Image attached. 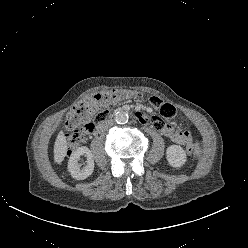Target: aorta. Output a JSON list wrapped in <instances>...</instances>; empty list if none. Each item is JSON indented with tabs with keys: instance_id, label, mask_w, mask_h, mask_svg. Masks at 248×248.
<instances>
[{
	"instance_id": "aorta-1",
	"label": "aorta",
	"mask_w": 248,
	"mask_h": 248,
	"mask_svg": "<svg viewBox=\"0 0 248 248\" xmlns=\"http://www.w3.org/2000/svg\"><path fill=\"white\" fill-rule=\"evenodd\" d=\"M128 114L124 111H120V112H117L115 114V121L118 123V124H125L128 122Z\"/></svg>"
}]
</instances>
